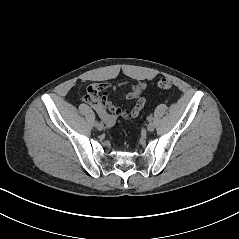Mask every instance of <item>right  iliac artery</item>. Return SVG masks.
I'll return each mask as SVG.
<instances>
[{"mask_svg":"<svg viewBox=\"0 0 239 239\" xmlns=\"http://www.w3.org/2000/svg\"><path fill=\"white\" fill-rule=\"evenodd\" d=\"M94 124H95V126H96V125H98V124H99V122H98V121H95V122H94Z\"/></svg>","mask_w":239,"mask_h":239,"instance_id":"82829eb1","label":"right iliac artery"}]
</instances>
